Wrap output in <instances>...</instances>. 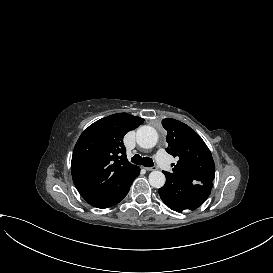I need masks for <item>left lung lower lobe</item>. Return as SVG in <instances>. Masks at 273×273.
<instances>
[{
  "mask_svg": "<svg viewBox=\"0 0 273 273\" xmlns=\"http://www.w3.org/2000/svg\"><path fill=\"white\" fill-rule=\"evenodd\" d=\"M165 185L158 190L162 201L172 210H195L208 198L213 184H197L164 173Z\"/></svg>",
  "mask_w": 273,
  "mask_h": 273,
  "instance_id": "obj_1",
  "label": "left lung lower lobe"
}]
</instances>
